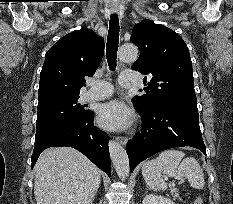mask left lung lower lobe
<instances>
[{
    "mask_svg": "<svg viewBox=\"0 0 233 204\" xmlns=\"http://www.w3.org/2000/svg\"><path fill=\"white\" fill-rule=\"evenodd\" d=\"M139 112L142 131L126 145L131 172L141 161L169 148L191 146L206 154L196 107L161 104Z\"/></svg>",
    "mask_w": 233,
    "mask_h": 204,
    "instance_id": "left-lung-lower-lobe-1",
    "label": "left lung lower lobe"
}]
</instances>
